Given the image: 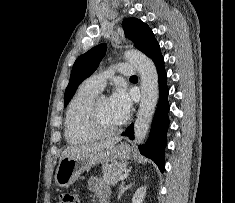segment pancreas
Returning <instances> with one entry per match:
<instances>
[{
    "mask_svg": "<svg viewBox=\"0 0 235 203\" xmlns=\"http://www.w3.org/2000/svg\"><path fill=\"white\" fill-rule=\"evenodd\" d=\"M126 171V164H112L102 168V177L107 184H116L119 177Z\"/></svg>",
    "mask_w": 235,
    "mask_h": 203,
    "instance_id": "1",
    "label": "pancreas"
}]
</instances>
